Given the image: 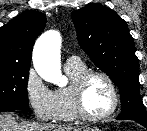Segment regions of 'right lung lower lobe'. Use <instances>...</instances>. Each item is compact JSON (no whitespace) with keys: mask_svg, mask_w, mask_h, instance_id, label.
Segmentation results:
<instances>
[{"mask_svg":"<svg viewBox=\"0 0 147 131\" xmlns=\"http://www.w3.org/2000/svg\"><path fill=\"white\" fill-rule=\"evenodd\" d=\"M5 111H14V109L6 108V107H0V112H5Z\"/></svg>","mask_w":147,"mask_h":131,"instance_id":"1","label":"right lung lower lobe"}]
</instances>
